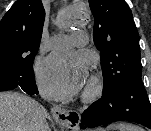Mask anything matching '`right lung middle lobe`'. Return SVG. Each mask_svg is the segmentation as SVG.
<instances>
[{"mask_svg": "<svg viewBox=\"0 0 151 131\" xmlns=\"http://www.w3.org/2000/svg\"><path fill=\"white\" fill-rule=\"evenodd\" d=\"M34 54L18 48L8 52H0V76H4L12 83L34 76Z\"/></svg>", "mask_w": 151, "mask_h": 131, "instance_id": "dd1d6c3e", "label": "right lung middle lobe"}]
</instances>
